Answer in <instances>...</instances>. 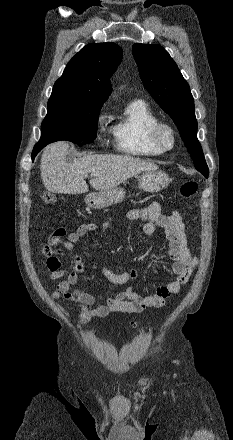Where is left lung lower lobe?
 <instances>
[{
    "instance_id": "obj_1",
    "label": "left lung lower lobe",
    "mask_w": 233,
    "mask_h": 440,
    "mask_svg": "<svg viewBox=\"0 0 233 440\" xmlns=\"http://www.w3.org/2000/svg\"><path fill=\"white\" fill-rule=\"evenodd\" d=\"M198 170L206 177V178H208V174H209V171H208V167L207 166H205V167H199L198 168Z\"/></svg>"
}]
</instances>
